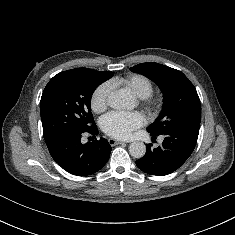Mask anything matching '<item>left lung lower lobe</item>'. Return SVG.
I'll return each instance as SVG.
<instances>
[{
  "mask_svg": "<svg viewBox=\"0 0 235 235\" xmlns=\"http://www.w3.org/2000/svg\"><path fill=\"white\" fill-rule=\"evenodd\" d=\"M153 138L158 135L150 133ZM199 131L178 129L162 134V145L152 149L147 144L146 155L136 161V165L145 173L157 176L170 174L177 170L192 154Z\"/></svg>",
  "mask_w": 235,
  "mask_h": 235,
  "instance_id": "obj_1",
  "label": "left lung lower lobe"
}]
</instances>
